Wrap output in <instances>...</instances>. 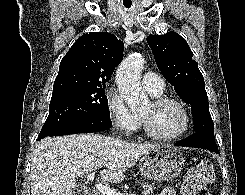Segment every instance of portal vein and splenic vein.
<instances>
[{
	"label": "portal vein and splenic vein",
	"mask_w": 245,
	"mask_h": 195,
	"mask_svg": "<svg viewBox=\"0 0 245 195\" xmlns=\"http://www.w3.org/2000/svg\"><path fill=\"white\" fill-rule=\"evenodd\" d=\"M95 177V172H91L87 175V180L88 181H93ZM95 188L101 193V195H137V194H133V193H120L117 192V190L110 188L108 186H105L102 183H96L95 184Z\"/></svg>",
	"instance_id": "obj_1"
}]
</instances>
